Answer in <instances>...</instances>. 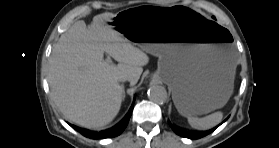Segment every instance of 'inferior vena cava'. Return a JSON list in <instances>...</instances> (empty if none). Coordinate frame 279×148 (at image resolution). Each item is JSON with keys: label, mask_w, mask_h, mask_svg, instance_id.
<instances>
[{"label": "inferior vena cava", "mask_w": 279, "mask_h": 148, "mask_svg": "<svg viewBox=\"0 0 279 148\" xmlns=\"http://www.w3.org/2000/svg\"><path fill=\"white\" fill-rule=\"evenodd\" d=\"M119 81H128V77L126 76H120Z\"/></svg>", "instance_id": "inferior-vena-cava-1"}]
</instances>
